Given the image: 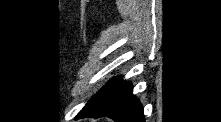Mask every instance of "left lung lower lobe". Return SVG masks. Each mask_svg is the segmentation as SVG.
<instances>
[{"label":"left lung lower lobe","instance_id":"1","mask_svg":"<svg viewBox=\"0 0 221 122\" xmlns=\"http://www.w3.org/2000/svg\"><path fill=\"white\" fill-rule=\"evenodd\" d=\"M108 116L116 122H144L140 102L132 94L130 82L110 80L85 107L77 118Z\"/></svg>","mask_w":221,"mask_h":122}]
</instances>
